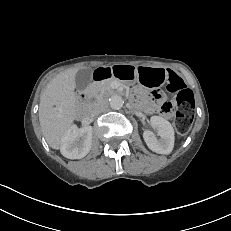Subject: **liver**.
<instances>
[{"label":"liver","instance_id":"6515ba94","mask_svg":"<svg viewBox=\"0 0 231 231\" xmlns=\"http://www.w3.org/2000/svg\"><path fill=\"white\" fill-rule=\"evenodd\" d=\"M78 68L68 69L53 78L42 92L39 122L48 145L59 149L63 136L78 116L75 76Z\"/></svg>","mask_w":231,"mask_h":231}]
</instances>
